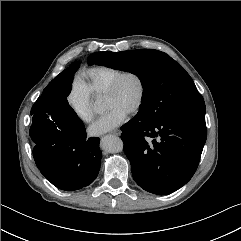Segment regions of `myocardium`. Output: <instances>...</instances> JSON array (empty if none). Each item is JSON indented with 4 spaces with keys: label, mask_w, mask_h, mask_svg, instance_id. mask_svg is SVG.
Masks as SVG:
<instances>
[{
    "label": "myocardium",
    "mask_w": 241,
    "mask_h": 241,
    "mask_svg": "<svg viewBox=\"0 0 241 241\" xmlns=\"http://www.w3.org/2000/svg\"><path fill=\"white\" fill-rule=\"evenodd\" d=\"M127 76L135 77L139 84L138 99H137L135 105L132 107V109L128 112V114L134 115L141 110V108L144 104V101H145L146 91H147L146 82H145L143 76L139 72L133 71V70L122 71L110 82V84L108 85V87L106 88V90L104 92V96H109V95L114 94L116 92L119 84L121 83V81Z\"/></svg>",
    "instance_id": "f54148a6"
}]
</instances>
